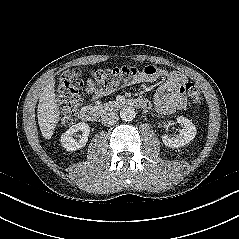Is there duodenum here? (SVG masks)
Listing matches in <instances>:
<instances>
[{
    "label": "duodenum",
    "instance_id": "410a0bca",
    "mask_svg": "<svg viewBox=\"0 0 239 239\" xmlns=\"http://www.w3.org/2000/svg\"><path fill=\"white\" fill-rule=\"evenodd\" d=\"M126 106H133L142 110H148L150 108V102L143 98H121L100 108L85 105L80 110V118L86 122H95L103 113Z\"/></svg>",
    "mask_w": 239,
    "mask_h": 239
}]
</instances>
